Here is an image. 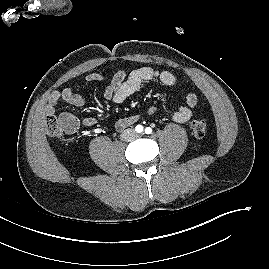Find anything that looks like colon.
Masks as SVG:
<instances>
[{
  "mask_svg": "<svg viewBox=\"0 0 269 269\" xmlns=\"http://www.w3.org/2000/svg\"><path fill=\"white\" fill-rule=\"evenodd\" d=\"M45 127L48 135L59 137L63 133H72L76 130V121L74 116L64 113L60 116L49 114L45 120ZM191 130L195 137L201 138L207 130V120L204 117H199L191 122Z\"/></svg>",
  "mask_w": 269,
  "mask_h": 269,
  "instance_id": "obj_1",
  "label": "colon"
}]
</instances>
